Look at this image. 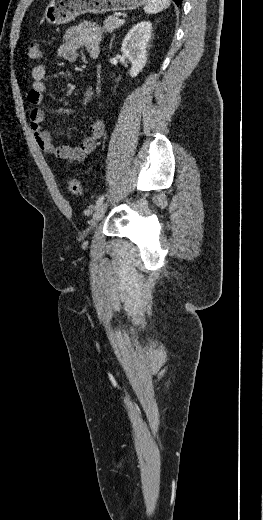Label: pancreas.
Returning a JSON list of instances; mask_svg holds the SVG:
<instances>
[{
	"label": "pancreas",
	"mask_w": 263,
	"mask_h": 520,
	"mask_svg": "<svg viewBox=\"0 0 263 520\" xmlns=\"http://www.w3.org/2000/svg\"><path fill=\"white\" fill-rule=\"evenodd\" d=\"M119 17L115 16V15H111V16H108L105 21L103 22L104 26L103 28L107 31V32H112L114 31L115 29L119 28L121 26V24L117 23Z\"/></svg>",
	"instance_id": "pancreas-1"
}]
</instances>
